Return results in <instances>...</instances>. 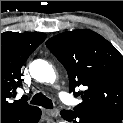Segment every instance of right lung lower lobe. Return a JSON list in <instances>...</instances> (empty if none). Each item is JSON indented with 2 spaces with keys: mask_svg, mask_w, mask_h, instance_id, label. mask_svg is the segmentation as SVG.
<instances>
[{
  "mask_svg": "<svg viewBox=\"0 0 123 123\" xmlns=\"http://www.w3.org/2000/svg\"><path fill=\"white\" fill-rule=\"evenodd\" d=\"M41 117V110L34 109L18 114L9 123H37Z\"/></svg>",
  "mask_w": 123,
  "mask_h": 123,
  "instance_id": "right-lung-lower-lobe-1",
  "label": "right lung lower lobe"
}]
</instances>
